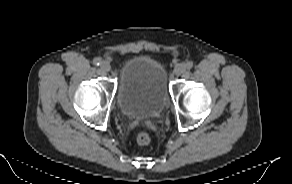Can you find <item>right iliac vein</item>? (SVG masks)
Masks as SVG:
<instances>
[{
	"instance_id": "right-iliac-vein-1",
	"label": "right iliac vein",
	"mask_w": 292,
	"mask_h": 184,
	"mask_svg": "<svg viewBox=\"0 0 292 184\" xmlns=\"http://www.w3.org/2000/svg\"><path fill=\"white\" fill-rule=\"evenodd\" d=\"M100 67H101V69H102L103 71H105V72H108V71H110V69H111V66H110L109 62H107V61H103V62L101 63V65H100Z\"/></svg>"
}]
</instances>
